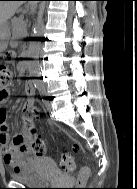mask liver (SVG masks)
Here are the masks:
<instances>
[{
    "label": "liver",
    "instance_id": "6515ba94",
    "mask_svg": "<svg viewBox=\"0 0 137 189\" xmlns=\"http://www.w3.org/2000/svg\"><path fill=\"white\" fill-rule=\"evenodd\" d=\"M21 5L22 1H0V28L6 24ZM31 5L34 6L35 3Z\"/></svg>",
    "mask_w": 137,
    "mask_h": 189
}]
</instances>
